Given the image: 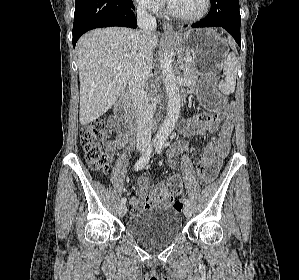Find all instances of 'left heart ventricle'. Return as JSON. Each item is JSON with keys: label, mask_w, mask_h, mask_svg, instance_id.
I'll return each instance as SVG.
<instances>
[{"label": "left heart ventricle", "mask_w": 299, "mask_h": 280, "mask_svg": "<svg viewBox=\"0 0 299 280\" xmlns=\"http://www.w3.org/2000/svg\"><path fill=\"white\" fill-rule=\"evenodd\" d=\"M172 7L186 16H196L202 12L205 0H169Z\"/></svg>", "instance_id": "obj_1"}]
</instances>
